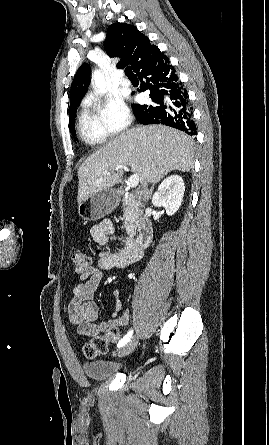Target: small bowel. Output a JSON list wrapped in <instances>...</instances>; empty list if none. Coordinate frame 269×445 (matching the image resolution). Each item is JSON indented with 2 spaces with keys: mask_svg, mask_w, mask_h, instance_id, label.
Listing matches in <instances>:
<instances>
[{
  "mask_svg": "<svg viewBox=\"0 0 269 445\" xmlns=\"http://www.w3.org/2000/svg\"><path fill=\"white\" fill-rule=\"evenodd\" d=\"M114 234V225L106 220L91 228L92 238L100 245H107L109 238ZM142 256V251L136 249L131 241H126L122 250L106 249L99 253L97 263L89 266L81 275L80 283L72 290V299L68 306L69 320L76 326L77 331L85 336L107 334L112 330L119 332L129 320V311H122V303L118 291L112 292L114 308L110 317L96 322L99 308L95 303V296L105 272L114 268H124Z\"/></svg>",
  "mask_w": 269,
  "mask_h": 445,
  "instance_id": "c3829d8e",
  "label": "small bowel"
}]
</instances>
